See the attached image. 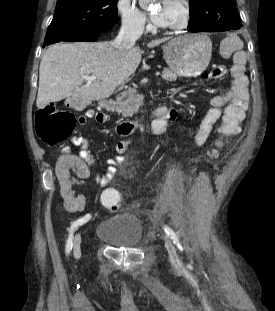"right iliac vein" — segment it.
Instances as JSON below:
<instances>
[{"mask_svg": "<svg viewBox=\"0 0 275 311\" xmlns=\"http://www.w3.org/2000/svg\"><path fill=\"white\" fill-rule=\"evenodd\" d=\"M80 245H81V235L78 233L76 234L74 241H73V249H74V256L79 257L81 250H80Z\"/></svg>", "mask_w": 275, "mask_h": 311, "instance_id": "right-iliac-vein-1", "label": "right iliac vein"}]
</instances>
